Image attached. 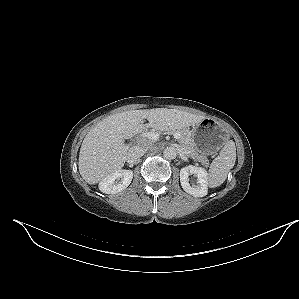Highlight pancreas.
<instances>
[{"label":"pancreas","instance_id":"obj_1","mask_svg":"<svg viewBox=\"0 0 299 299\" xmlns=\"http://www.w3.org/2000/svg\"><path fill=\"white\" fill-rule=\"evenodd\" d=\"M167 133L173 134V133H179V143L189 152L190 156L195 159L196 161H199L203 165L207 166L209 164V161L205 155L199 154L190 139V131L187 129L183 130H167Z\"/></svg>","mask_w":299,"mask_h":299}]
</instances>
